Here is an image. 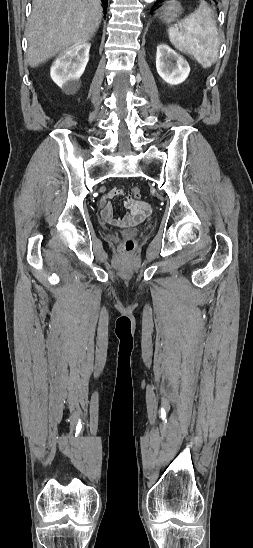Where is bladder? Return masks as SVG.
I'll return each instance as SVG.
<instances>
[{"mask_svg": "<svg viewBox=\"0 0 253 548\" xmlns=\"http://www.w3.org/2000/svg\"><path fill=\"white\" fill-rule=\"evenodd\" d=\"M125 235H128V236H136L138 234V231L137 230H127L124 232Z\"/></svg>", "mask_w": 253, "mask_h": 548, "instance_id": "obj_1", "label": "bladder"}]
</instances>
